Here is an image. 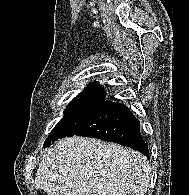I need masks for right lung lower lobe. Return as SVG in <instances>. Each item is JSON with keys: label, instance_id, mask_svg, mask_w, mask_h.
I'll return each mask as SVG.
<instances>
[{"label": "right lung lower lobe", "instance_id": "right-lung-lower-lobe-1", "mask_svg": "<svg viewBox=\"0 0 189 195\" xmlns=\"http://www.w3.org/2000/svg\"><path fill=\"white\" fill-rule=\"evenodd\" d=\"M140 123L122 104L104 101L86 123L69 136L93 137L115 142L149 158L148 145L140 133Z\"/></svg>", "mask_w": 189, "mask_h": 195}]
</instances>
